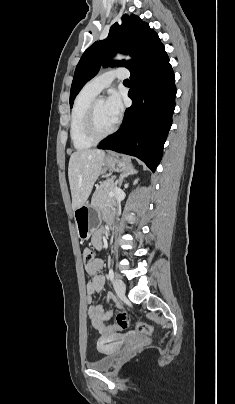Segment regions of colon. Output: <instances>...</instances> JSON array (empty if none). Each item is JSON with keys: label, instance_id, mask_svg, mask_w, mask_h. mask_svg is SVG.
<instances>
[{"label": "colon", "instance_id": "colon-1", "mask_svg": "<svg viewBox=\"0 0 235 404\" xmlns=\"http://www.w3.org/2000/svg\"><path fill=\"white\" fill-rule=\"evenodd\" d=\"M84 264L88 265L93 262L94 254L90 248H86L82 254ZM116 325L118 329L124 330L129 327L130 323L127 318V315L124 311H120L116 316ZM131 327L134 331L141 333V334H152L154 331V327L148 323L144 322H134L131 324ZM102 347V346H101Z\"/></svg>", "mask_w": 235, "mask_h": 404}]
</instances>
